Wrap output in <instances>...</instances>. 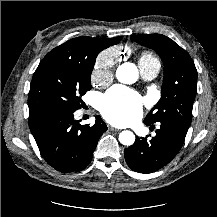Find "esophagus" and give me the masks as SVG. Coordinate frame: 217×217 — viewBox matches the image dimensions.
Segmentation results:
<instances>
[{
  "label": "esophagus",
  "mask_w": 217,
  "mask_h": 217,
  "mask_svg": "<svg viewBox=\"0 0 217 217\" xmlns=\"http://www.w3.org/2000/svg\"><path fill=\"white\" fill-rule=\"evenodd\" d=\"M108 129L111 130V131H115V132L119 131V129H117V128L113 127V126H108Z\"/></svg>",
  "instance_id": "1"
}]
</instances>
